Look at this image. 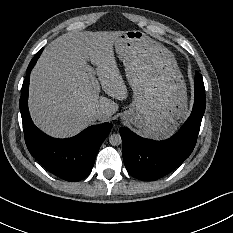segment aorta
Returning a JSON list of instances; mask_svg holds the SVG:
<instances>
[{"label": "aorta", "instance_id": "1", "mask_svg": "<svg viewBox=\"0 0 233 233\" xmlns=\"http://www.w3.org/2000/svg\"><path fill=\"white\" fill-rule=\"evenodd\" d=\"M109 143L113 146H118L122 143V139H121V136L120 134H112L110 137H109Z\"/></svg>", "mask_w": 233, "mask_h": 233}]
</instances>
